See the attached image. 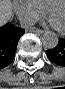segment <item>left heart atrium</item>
<instances>
[{"label": "left heart atrium", "instance_id": "left-heart-atrium-1", "mask_svg": "<svg viewBox=\"0 0 65 89\" xmlns=\"http://www.w3.org/2000/svg\"><path fill=\"white\" fill-rule=\"evenodd\" d=\"M46 23L53 28L60 29L59 24L52 17L49 18Z\"/></svg>", "mask_w": 65, "mask_h": 89}]
</instances>
